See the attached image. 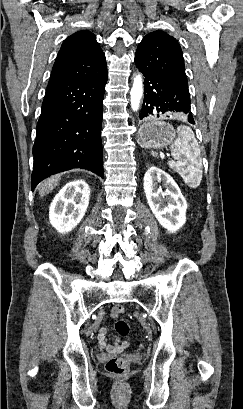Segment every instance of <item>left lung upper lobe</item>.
<instances>
[{
    "label": "left lung upper lobe",
    "mask_w": 243,
    "mask_h": 409,
    "mask_svg": "<svg viewBox=\"0 0 243 409\" xmlns=\"http://www.w3.org/2000/svg\"><path fill=\"white\" fill-rule=\"evenodd\" d=\"M135 64L141 70L160 74L188 87L181 47L164 31L151 32L142 39L135 53Z\"/></svg>",
    "instance_id": "5c2ea615"
}]
</instances>
